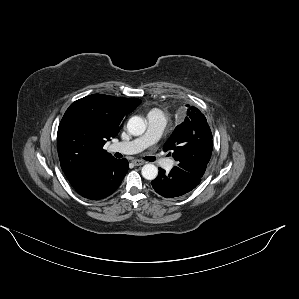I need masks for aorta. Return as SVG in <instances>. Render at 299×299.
I'll list each match as a JSON object with an SVG mask.
<instances>
[{
    "instance_id": "obj_1",
    "label": "aorta",
    "mask_w": 299,
    "mask_h": 299,
    "mask_svg": "<svg viewBox=\"0 0 299 299\" xmlns=\"http://www.w3.org/2000/svg\"><path fill=\"white\" fill-rule=\"evenodd\" d=\"M127 129L134 136L142 135L146 130V120L140 116H133L127 123ZM141 173L145 179L154 180L158 175V168L153 164H145Z\"/></svg>"
}]
</instances>
